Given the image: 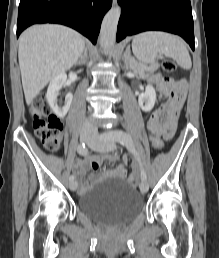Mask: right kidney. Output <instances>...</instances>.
Instances as JSON below:
<instances>
[{"mask_svg":"<svg viewBox=\"0 0 219 258\" xmlns=\"http://www.w3.org/2000/svg\"><path fill=\"white\" fill-rule=\"evenodd\" d=\"M67 80V75L65 73H61L55 76L51 81L47 89V101L55 115L59 118L65 117L67 114L70 105L72 103L73 95L68 93L65 97V105L58 106L57 105V97L59 95V91L61 90L62 86L65 84Z\"/></svg>","mask_w":219,"mask_h":258,"instance_id":"ca27d5eb","label":"right kidney"}]
</instances>
